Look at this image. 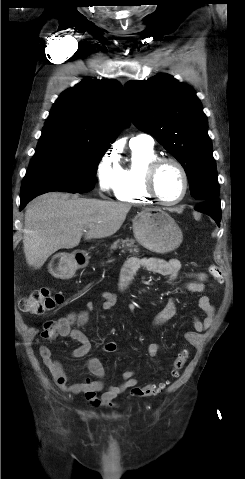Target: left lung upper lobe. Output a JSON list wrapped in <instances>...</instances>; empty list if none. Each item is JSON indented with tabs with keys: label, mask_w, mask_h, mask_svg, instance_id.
Listing matches in <instances>:
<instances>
[{
	"label": "left lung upper lobe",
	"mask_w": 245,
	"mask_h": 479,
	"mask_svg": "<svg viewBox=\"0 0 245 479\" xmlns=\"http://www.w3.org/2000/svg\"><path fill=\"white\" fill-rule=\"evenodd\" d=\"M134 124L152 134L184 167L191 196L200 202L219 195L208 121L192 87L168 74L126 83Z\"/></svg>",
	"instance_id": "5c2ea615"
}]
</instances>
